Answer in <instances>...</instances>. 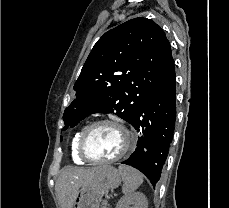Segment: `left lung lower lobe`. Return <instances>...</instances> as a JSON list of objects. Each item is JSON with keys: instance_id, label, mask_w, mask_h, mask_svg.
<instances>
[{"instance_id": "left-lung-lower-lobe-1", "label": "left lung lower lobe", "mask_w": 229, "mask_h": 208, "mask_svg": "<svg viewBox=\"0 0 229 208\" xmlns=\"http://www.w3.org/2000/svg\"><path fill=\"white\" fill-rule=\"evenodd\" d=\"M176 120V81L148 96L130 123L141 136L123 164L141 171L155 185L161 177Z\"/></svg>"}]
</instances>
